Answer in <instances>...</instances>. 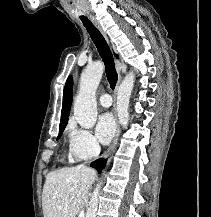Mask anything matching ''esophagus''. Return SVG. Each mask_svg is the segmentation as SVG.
<instances>
[{"instance_id":"obj_1","label":"esophagus","mask_w":211,"mask_h":217,"mask_svg":"<svg viewBox=\"0 0 211 217\" xmlns=\"http://www.w3.org/2000/svg\"><path fill=\"white\" fill-rule=\"evenodd\" d=\"M89 18H90L91 22L94 24V26L103 35V37L109 42L108 36H107L106 32L103 30V28L100 25L99 21L94 16H92V15H90ZM121 80H122V76H121V74H119L118 81H117V84H116V89H115V95H116V93L118 91V88L120 86ZM114 111H115V118H116V134H115V137H114V139H113L110 147L108 148V150L104 154V157L109 156L113 152V150L115 149L116 144L118 142L119 135H120V126H119V121H118V118H117L116 108L114 109Z\"/></svg>"}]
</instances>
